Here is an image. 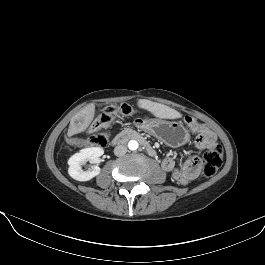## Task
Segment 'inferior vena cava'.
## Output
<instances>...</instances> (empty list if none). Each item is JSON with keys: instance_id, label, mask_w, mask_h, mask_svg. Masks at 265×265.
I'll use <instances>...</instances> for the list:
<instances>
[{"instance_id": "inferior-vena-cava-1", "label": "inferior vena cava", "mask_w": 265, "mask_h": 265, "mask_svg": "<svg viewBox=\"0 0 265 265\" xmlns=\"http://www.w3.org/2000/svg\"><path fill=\"white\" fill-rule=\"evenodd\" d=\"M127 152V147L125 145H117L114 148V154L118 157L125 155Z\"/></svg>"}]
</instances>
